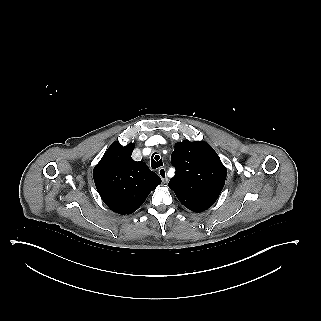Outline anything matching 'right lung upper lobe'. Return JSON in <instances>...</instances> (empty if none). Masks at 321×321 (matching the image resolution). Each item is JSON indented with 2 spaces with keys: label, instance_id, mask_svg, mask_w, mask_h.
<instances>
[{
  "label": "right lung upper lobe",
  "instance_id": "obj_1",
  "mask_svg": "<svg viewBox=\"0 0 321 321\" xmlns=\"http://www.w3.org/2000/svg\"><path fill=\"white\" fill-rule=\"evenodd\" d=\"M134 144L114 142L94 168L93 177L104 203L114 212L131 214L160 183V177L131 154Z\"/></svg>",
  "mask_w": 321,
  "mask_h": 321
}]
</instances>
